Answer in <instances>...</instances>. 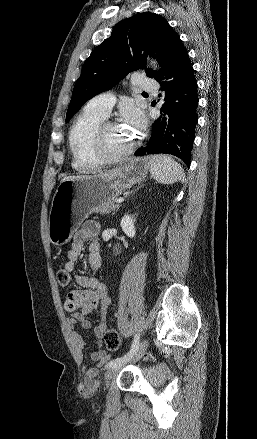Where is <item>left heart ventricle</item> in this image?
Segmentation results:
<instances>
[{
    "label": "left heart ventricle",
    "mask_w": 257,
    "mask_h": 439,
    "mask_svg": "<svg viewBox=\"0 0 257 439\" xmlns=\"http://www.w3.org/2000/svg\"><path fill=\"white\" fill-rule=\"evenodd\" d=\"M105 147L111 154L118 153L128 147L133 139L119 125L106 127L104 131Z\"/></svg>",
    "instance_id": "1"
}]
</instances>
